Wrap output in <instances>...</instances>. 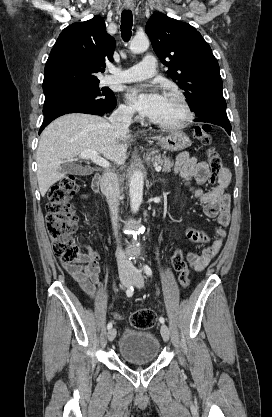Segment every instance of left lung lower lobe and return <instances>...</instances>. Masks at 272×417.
<instances>
[{"instance_id": "1", "label": "left lung lower lobe", "mask_w": 272, "mask_h": 417, "mask_svg": "<svg viewBox=\"0 0 272 417\" xmlns=\"http://www.w3.org/2000/svg\"><path fill=\"white\" fill-rule=\"evenodd\" d=\"M195 121L196 122H207V123H212V124H215V125H219V126L223 127L227 131L228 134H230V132H231V125H226V124L221 123V122L216 121V120L196 118Z\"/></svg>"}]
</instances>
